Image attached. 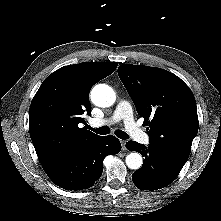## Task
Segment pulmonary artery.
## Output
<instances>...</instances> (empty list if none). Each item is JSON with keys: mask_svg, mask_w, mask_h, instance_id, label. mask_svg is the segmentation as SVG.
Segmentation results:
<instances>
[{"mask_svg": "<svg viewBox=\"0 0 221 221\" xmlns=\"http://www.w3.org/2000/svg\"><path fill=\"white\" fill-rule=\"evenodd\" d=\"M118 121H123L127 132L136 141L143 144H147L149 142V136L144 131H142L134 121L133 112L130 103L124 100L118 103L114 111V114L111 118L109 119L94 118L90 120V125L92 127H101L103 125Z\"/></svg>", "mask_w": 221, "mask_h": 221, "instance_id": "e3ab8cb5", "label": "pulmonary artery"}]
</instances>
